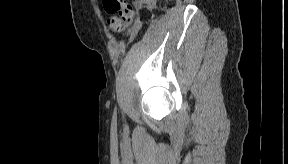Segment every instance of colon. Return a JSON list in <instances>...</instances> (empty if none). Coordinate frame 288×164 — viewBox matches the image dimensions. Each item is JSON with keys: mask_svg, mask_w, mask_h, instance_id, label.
Wrapping results in <instances>:
<instances>
[{"mask_svg": "<svg viewBox=\"0 0 288 164\" xmlns=\"http://www.w3.org/2000/svg\"><path fill=\"white\" fill-rule=\"evenodd\" d=\"M105 4L107 10L115 14L107 19L108 28L112 32L120 33L131 24L135 16V8L132 4L125 0H106Z\"/></svg>", "mask_w": 288, "mask_h": 164, "instance_id": "1", "label": "colon"}]
</instances>
